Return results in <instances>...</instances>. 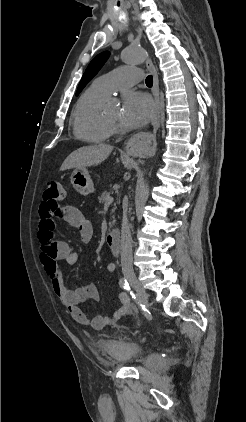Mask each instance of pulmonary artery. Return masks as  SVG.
Wrapping results in <instances>:
<instances>
[{"mask_svg":"<svg viewBox=\"0 0 246 422\" xmlns=\"http://www.w3.org/2000/svg\"><path fill=\"white\" fill-rule=\"evenodd\" d=\"M141 71L132 67H120L98 77L93 82V86L106 95L113 91L132 86L141 80Z\"/></svg>","mask_w":246,"mask_h":422,"instance_id":"1","label":"pulmonary artery"}]
</instances>
